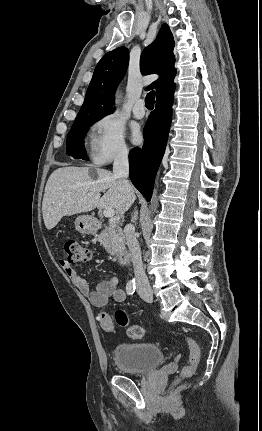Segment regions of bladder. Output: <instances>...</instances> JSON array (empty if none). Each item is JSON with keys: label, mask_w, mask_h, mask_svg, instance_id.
<instances>
[{"label": "bladder", "mask_w": 262, "mask_h": 431, "mask_svg": "<svg viewBox=\"0 0 262 431\" xmlns=\"http://www.w3.org/2000/svg\"><path fill=\"white\" fill-rule=\"evenodd\" d=\"M114 356L120 371L143 374L163 364L165 351L158 344L133 342L117 345Z\"/></svg>", "instance_id": "1"}]
</instances>
